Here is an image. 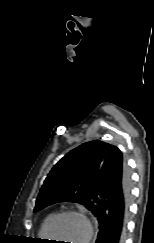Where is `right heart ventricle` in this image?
Listing matches in <instances>:
<instances>
[{
  "instance_id": "obj_1",
  "label": "right heart ventricle",
  "mask_w": 154,
  "mask_h": 243,
  "mask_svg": "<svg viewBox=\"0 0 154 243\" xmlns=\"http://www.w3.org/2000/svg\"><path fill=\"white\" fill-rule=\"evenodd\" d=\"M53 215H54L53 213L48 214V215L44 218V220L42 221V224H41V227H40V230H39V235H40L41 238H43V239L47 238V236H46V226H47L48 221L50 220V218H51Z\"/></svg>"
}]
</instances>
